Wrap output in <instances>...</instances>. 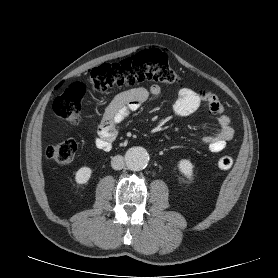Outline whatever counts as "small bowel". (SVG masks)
Wrapping results in <instances>:
<instances>
[{"instance_id":"obj_1","label":"small bowel","mask_w":278,"mask_h":278,"mask_svg":"<svg viewBox=\"0 0 278 278\" xmlns=\"http://www.w3.org/2000/svg\"><path fill=\"white\" fill-rule=\"evenodd\" d=\"M161 92L160 86L152 85L149 88L140 86L117 94L105 109L102 122L96 130L95 147L102 151H109L118 134L117 126L148 99L158 98ZM202 103H206L211 114L217 118L220 129L216 133L203 136L201 141L211 152L217 153L232 140L234 129L229 116L224 112L223 105L214 93L182 88L174 103V112L180 117H186L193 114Z\"/></svg>"}]
</instances>
